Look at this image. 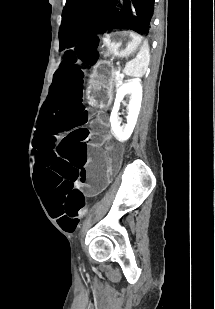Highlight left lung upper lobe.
Returning a JSON list of instances; mask_svg holds the SVG:
<instances>
[{
    "instance_id": "left-lung-upper-lobe-1",
    "label": "left lung upper lobe",
    "mask_w": 215,
    "mask_h": 309,
    "mask_svg": "<svg viewBox=\"0 0 215 309\" xmlns=\"http://www.w3.org/2000/svg\"><path fill=\"white\" fill-rule=\"evenodd\" d=\"M154 0H66L59 30L60 51L111 29L150 32Z\"/></svg>"
}]
</instances>
